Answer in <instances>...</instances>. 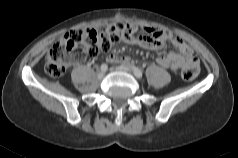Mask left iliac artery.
I'll use <instances>...</instances> for the list:
<instances>
[{
	"label": "left iliac artery",
	"mask_w": 238,
	"mask_h": 158,
	"mask_svg": "<svg viewBox=\"0 0 238 158\" xmlns=\"http://www.w3.org/2000/svg\"><path fill=\"white\" fill-rule=\"evenodd\" d=\"M129 67H130V69L133 71V73H134V75H135L136 77H138V78H141V77H142L143 73H142V71H141L139 68H137V67H135V66H129Z\"/></svg>",
	"instance_id": "obj_1"
}]
</instances>
